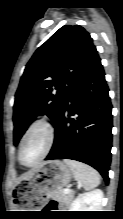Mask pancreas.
<instances>
[{"mask_svg":"<svg viewBox=\"0 0 123 219\" xmlns=\"http://www.w3.org/2000/svg\"><path fill=\"white\" fill-rule=\"evenodd\" d=\"M53 197L59 200L60 202H64L66 204H70L73 200V193L65 194L63 190H60L53 194Z\"/></svg>","mask_w":123,"mask_h":219,"instance_id":"1","label":"pancreas"}]
</instances>
